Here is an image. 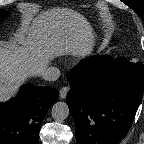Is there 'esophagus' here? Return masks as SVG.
Returning <instances> with one entry per match:
<instances>
[{
  "label": "esophagus",
  "instance_id": "34e87169",
  "mask_svg": "<svg viewBox=\"0 0 144 144\" xmlns=\"http://www.w3.org/2000/svg\"><path fill=\"white\" fill-rule=\"evenodd\" d=\"M69 91V87L68 86H64L60 89V98L61 99H65L67 96V93Z\"/></svg>",
  "mask_w": 144,
  "mask_h": 144
}]
</instances>
